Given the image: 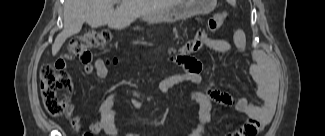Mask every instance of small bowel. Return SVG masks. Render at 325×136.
<instances>
[{
	"mask_svg": "<svg viewBox=\"0 0 325 136\" xmlns=\"http://www.w3.org/2000/svg\"><path fill=\"white\" fill-rule=\"evenodd\" d=\"M220 28L213 30L209 27L203 29L206 47L214 52L232 56L236 50L246 53L245 34L240 29H232L233 41L216 38ZM253 61L249 66V74L256 86V94L261 101L259 106H254L244 97H235L234 95L214 88L207 80V75L212 69V65H203L196 59H189L180 63L185 67V71L180 74H173L163 78L159 83V89L166 95L176 98H183L184 93L173 92V87L182 83H193L204 85V91H191L187 97L195 102L198 107L199 124L192 132L191 136H202L206 133L212 120V103L216 102L224 106H233L237 111L248 116V119L239 127H234L230 123H225L227 136H252L258 130L269 124L275 104V81L272 76V66L269 59L261 51H255L252 54ZM66 54L60 53L55 63V70L58 78L64 86L65 93H75L77 88L73 86L74 77L71 73H66ZM86 74L96 73L100 78L108 75V67L102 59H97L93 64H85ZM116 93L109 94L101 103L99 108V120L92 122L88 127V133L95 135L103 131L110 136L119 135L115 125V112L113 110ZM132 105L140 109V101L132 100ZM71 125L75 128L81 126L82 122L78 117L73 116V109L68 113ZM133 136V134H127Z\"/></svg>",
	"mask_w": 325,
	"mask_h": 136,
	"instance_id": "1",
	"label": "small bowel"
}]
</instances>
